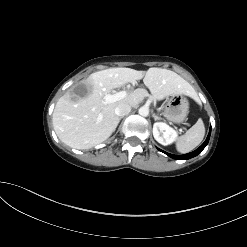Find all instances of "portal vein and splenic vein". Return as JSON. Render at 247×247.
<instances>
[{"label":"portal vein and splenic vein","instance_id":"18ae733b","mask_svg":"<svg viewBox=\"0 0 247 247\" xmlns=\"http://www.w3.org/2000/svg\"><path fill=\"white\" fill-rule=\"evenodd\" d=\"M127 95H128L127 91H120L115 94H108L104 97L103 103L104 104L113 103V102L124 99Z\"/></svg>","mask_w":247,"mask_h":247}]
</instances>
